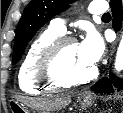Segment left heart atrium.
Masks as SVG:
<instances>
[{"label": "left heart atrium", "mask_w": 123, "mask_h": 113, "mask_svg": "<svg viewBox=\"0 0 123 113\" xmlns=\"http://www.w3.org/2000/svg\"><path fill=\"white\" fill-rule=\"evenodd\" d=\"M81 58L93 66L103 55L104 43L96 31H89L78 45Z\"/></svg>", "instance_id": "1"}]
</instances>
